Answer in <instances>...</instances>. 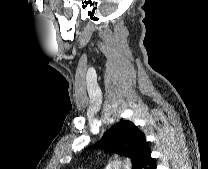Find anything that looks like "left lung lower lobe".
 <instances>
[{
    "mask_svg": "<svg viewBox=\"0 0 208 169\" xmlns=\"http://www.w3.org/2000/svg\"><path fill=\"white\" fill-rule=\"evenodd\" d=\"M137 169H156V164L154 163L151 157L150 148L147 149L144 154L142 155Z\"/></svg>",
    "mask_w": 208,
    "mask_h": 169,
    "instance_id": "left-lung-lower-lobe-1",
    "label": "left lung lower lobe"
}]
</instances>
